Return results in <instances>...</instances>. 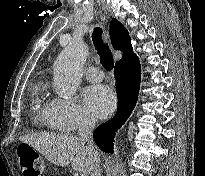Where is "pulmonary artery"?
<instances>
[{
	"label": "pulmonary artery",
	"instance_id": "pulmonary-artery-1",
	"mask_svg": "<svg viewBox=\"0 0 205 176\" xmlns=\"http://www.w3.org/2000/svg\"><path fill=\"white\" fill-rule=\"evenodd\" d=\"M83 75L87 80L92 82H100L103 79V71L96 66L85 68Z\"/></svg>",
	"mask_w": 205,
	"mask_h": 176
}]
</instances>
